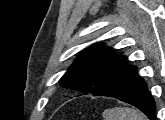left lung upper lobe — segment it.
<instances>
[{
  "label": "left lung upper lobe",
  "mask_w": 165,
  "mask_h": 120,
  "mask_svg": "<svg viewBox=\"0 0 165 120\" xmlns=\"http://www.w3.org/2000/svg\"><path fill=\"white\" fill-rule=\"evenodd\" d=\"M112 48L93 45L81 52L59 80L62 87L93 96H108L123 82L131 65Z\"/></svg>",
  "instance_id": "obj_1"
}]
</instances>
